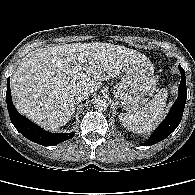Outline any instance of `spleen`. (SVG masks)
Wrapping results in <instances>:
<instances>
[{
  "label": "spleen",
  "mask_w": 195,
  "mask_h": 195,
  "mask_svg": "<svg viewBox=\"0 0 195 195\" xmlns=\"http://www.w3.org/2000/svg\"><path fill=\"white\" fill-rule=\"evenodd\" d=\"M167 97V90L161 89L140 110L121 113L119 115L120 122L126 129L136 134L149 133L164 115Z\"/></svg>",
  "instance_id": "3e777b00"
}]
</instances>
